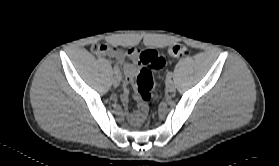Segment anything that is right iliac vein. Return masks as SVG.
Listing matches in <instances>:
<instances>
[{
    "label": "right iliac vein",
    "mask_w": 279,
    "mask_h": 166,
    "mask_svg": "<svg viewBox=\"0 0 279 166\" xmlns=\"http://www.w3.org/2000/svg\"><path fill=\"white\" fill-rule=\"evenodd\" d=\"M121 77L119 74H116L113 78V85L117 87L120 84Z\"/></svg>",
    "instance_id": "right-iliac-vein-1"
}]
</instances>
